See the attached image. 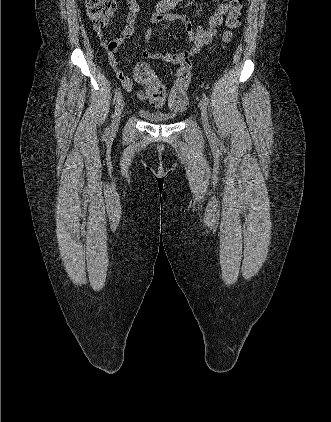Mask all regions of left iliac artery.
Wrapping results in <instances>:
<instances>
[{
    "mask_svg": "<svg viewBox=\"0 0 331 422\" xmlns=\"http://www.w3.org/2000/svg\"><path fill=\"white\" fill-rule=\"evenodd\" d=\"M203 100H204L205 104L208 106V104H209V98H208V96L206 94H203Z\"/></svg>",
    "mask_w": 331,
    "mask_h": 422,
    "instance_id": "left-iliac-artery-1",
    "label": "left iliac artery"
}]
</instances>
